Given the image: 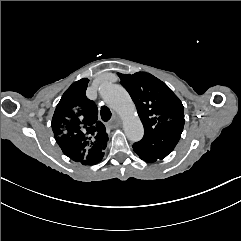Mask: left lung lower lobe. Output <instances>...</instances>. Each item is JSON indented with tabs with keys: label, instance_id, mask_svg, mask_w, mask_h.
<instances>
[{
	"label": "left lung lower lobe",
	"instance_id": "obj_1",
	"mask_svg": "<svg viewBox=\"0 0 241 241\" xmlns=\"http://www.w3.org/2000/svg\"><path fill=\"white\" fill-rule=\"evenodd\" d=\"M182 131L161 132L157 139L141 140L133 144V149L146 162L165 158L178 143Z\"/></svg>",
	"mask_w": 241,
	"mask_h": 241
}]
</instances>
